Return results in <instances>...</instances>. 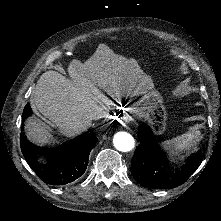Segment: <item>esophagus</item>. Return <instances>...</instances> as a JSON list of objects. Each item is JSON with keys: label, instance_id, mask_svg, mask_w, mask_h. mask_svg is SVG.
Instances as JSON below:
<instances>
[{"label": "esophagus", "instance_id": "esophagus-1", "mask_svg": "<svg viewBox=\"0 0 221 221\" xmlns=\"http://www.w3.org/2000/svg\"><path fill=\"white\" fill-rule=\"evenodd\" d=\"M124 121H125V124H128L129 122L127 117L124 119Z\"/></svg>", "mask_w": 221, "mask_h": 221}]
</instances>
